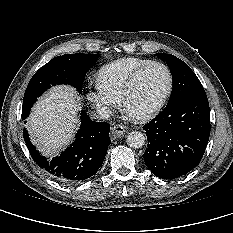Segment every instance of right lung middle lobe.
Listing matches in <instances>:
<instances>
[{
    "label": "right lung middle lobe",
    "mask_w": 233,
    "mask_h": 233,
    "mask_svg": "<svg viewBox=\"0 0 233 233\" xmlns=\"http://www.w3.org/2000/svg\"><path fill=\"white\" fill-rule=\"evenodd\" d=\"M100 54H66L57 56L41 67L31 78L23 98L22 119L45 90L56 84H70L82 92L87 71Z\"/></svg>",
    "instance_id": "right-lung-middle-lobe-1"
}]
</instances>
